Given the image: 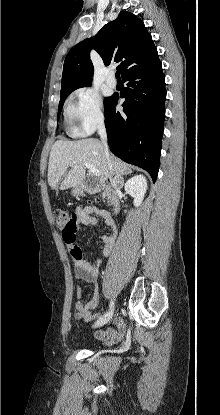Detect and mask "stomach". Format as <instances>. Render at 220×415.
I'll return each mask as SVG.
<instances>
[{"label":"stomach","mask_w":220,"mask_h":415,"mask_svg":"<svg viewBox=\"0 0 220 415\" xmlns=\"http://www.w3.org/2000/svg\"><path fill=\"white\" fill-rule=\"evenodd\" d=\"M72 194H73L74 196H80V195H82V194H83V188H82V187H80V186H76V187H74V188L72 189Z\"/></svg>","instance_id":"1"}]
</instances>
